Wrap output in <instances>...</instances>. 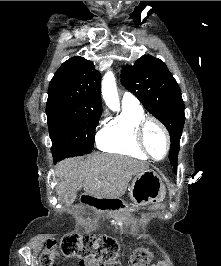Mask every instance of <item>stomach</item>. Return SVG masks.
Here are the masks:
<instances>
[{
    "label": "stomach",
    "instance_id": "stomach-1",
    "mask_svg": "<svg viewBox=\"0 0 221 266\" xmlns=\"http://www.w3.org/2000/svg\"><path fill=\"white\" fill-rule=\"evenodd\" d=\"M128 191L135 205L158 204L166 195V188L161 177L151 169L136 175Z\"/></svg>",
    "mask_w": 221,
    "mask_h": 266
}]
</instances>
